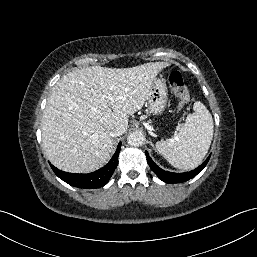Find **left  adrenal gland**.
I'll list each match as a JSON object with an SVG mask.
<instances>
[{
	"label": "left adrenal gland",
	"mask_w": 257,
	"mask_h": 257,
	"mask_svg": "<svg viewBox=\"0 0 257 257\" xmlns=\"http://www.w3.org/2000/svg\"><path fill=\"white\" fill-rule=\"evenodd\" d=\"M150 144H151L152 148L156 151L154 144L151 141H150Z\"/></svg>",
	"instance_id": "obj_1"
}]
</instances>
